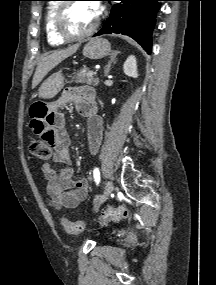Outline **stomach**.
I'll list each match as a JSON object with an SVG mask.
<instances>
[{"label":"stomach","instance_id":"1","mask_svg":"<svg viewBox=\"0 0 216 285\" xmlns=\"http://www.w3.org/2000/svg\"><path fill=\"white\" fill-rule=\"evenodd\" d=\"M111 52V45L108 40L103 38H94L88 41L83 48V55L89 59H101ZM64 86V76L57 72L46 79L39 88L38 95L44 99L55 97Z\"/></svg>","mask_w":216,"mask_h":285}]
</instances>
